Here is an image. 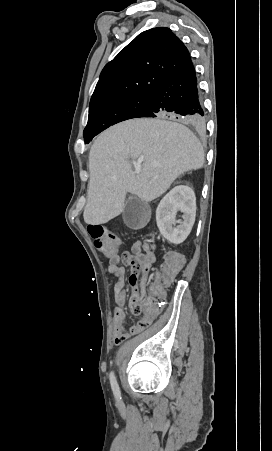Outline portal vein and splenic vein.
I'll return each instance as SVG.
<instances>
[{"label": "portal vein and splenic vein", "instance_id": "portal-vein-and-splenic-vein-1", "mask_svg": "<svg viewBox=\"0 0 272 451\" xmlns=\"http://www.w3.org/2000/svg\"><path fill=\"white\" fill-rule=\"evenodd\" d=\"M134 174H140L139 170H135Z\"/></svg>", "mask_w": 272, "mask_h": 451}]
</instances>
